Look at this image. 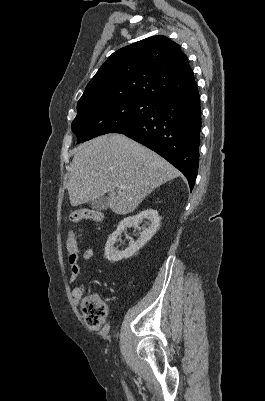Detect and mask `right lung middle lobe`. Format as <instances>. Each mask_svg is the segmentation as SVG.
Instances as JSON below:
<instances>
[{"label":"right lung middle lobe","instance_id":"right-lung-middle-lobe-1","mask_svg":"<svg viewBox=\"0 0 265 401\" xmlns=\"http://www.w3.org/2000/svg\"><path fill=\"white\" fill-rule=\"evenodd\" d=\"M157 101L144 98H103L77 106L72 131L78 143L99 135L113 133L151 115Z\"/></svg>","mask_w":265,"mask_h":401}]
</instances>
